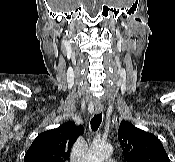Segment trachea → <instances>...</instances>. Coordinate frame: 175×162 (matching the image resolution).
Here are the masks:
<instances>
[{
    "label": "trachea",
    "instance_id": "trachea-1",
    "mask_svg": "<svg viewBox=\"0 0 175 162\" xmlns=\"http://www.w3.org/2000/svg\"><path fill=\"white\" fill-rule=\"evenodd\" d=\"M101 122H102V113L95 114L90 122L92 131L94 132L97 131Z\"/></svg>",
    "mask_w": 175,
    "mask_h": 162
}]
</instances>
